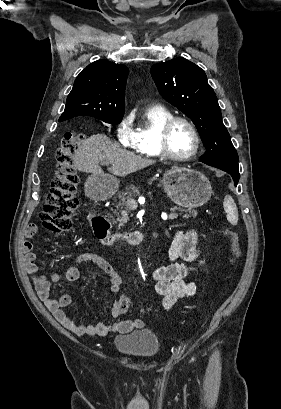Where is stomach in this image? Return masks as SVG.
<instances>
[{
	"label": "stomach",
	"instance_id": "1",
	"mask_svg": "<svg viewBox=\"0 0 281 409\" xmlns=\"http://www.w3.org/2000/svg\"><path fill=\"white\" fill-rule=\"evenodd\" d=\"M162 184L169 198L179 207H187V209L205 205L212 194L210 180L203 172L194 168L173 166L164 172ZM118 186L119 180L111 174H105V176L91 174L85 182L84 190L93 200H107L116 192Z\"/></svg>",
	"mask_w": 281,
	"mask_h": 409
}]
</instances>
